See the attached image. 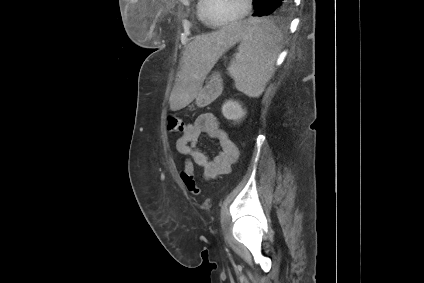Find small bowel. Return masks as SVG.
Instances as JSON below:
<instances>
[{
    "label": "small bowel",
    "instance_id": "1",
    "mask_svg": "<svg viewBox=\"0 0 424 283\" xmlns=\"http://www.w3.org/2000/svg\"><path fill=\"white\" fill-rule=\"evenodd\" d=\"M203 134L219 140L221 151L213 158L198 147L199 139ZM176 150L190 157L185 163L189 161L193 166L198 165L203 168L205 180L229 173L231 166L240 156L239 148L219 127L217 117L211 112L199 115L192 123L184 127L182 135L176 140Z\"/></svg>",
    "mask_w": 424,
    "mask_h": 283
}]
</instances>
